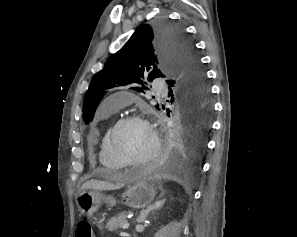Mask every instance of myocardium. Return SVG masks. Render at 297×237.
Segmentation results:
<instances>
[{
  "label": "myocardium",
  "instance_id": "myocardium-1",
  "mask_svg": "<svg viewBox=\"0 0 297 237\" xmlns=\"http://www.w3.org/2000/svg\"><path fill=\"white\" fill-rule=\"evenodd\" d=\"M127 123H141L145 125L153 139V148L150 152V154L138 161L134 160H129L126 159L116 148L115 143H114V136L118 129L127 124ZM106 141H107V147L111 155L118 160V162L124 167V166H140V165H147L152 162H154L161 154V141H160V136L158 131L155 129L153 124L143 115L140 114H132V115H127L119 118L113 126L109 129L107 136H106Z\"/></svg>",
  "mask_w": 297,
  "mask_h": 237
}]
</instances>
